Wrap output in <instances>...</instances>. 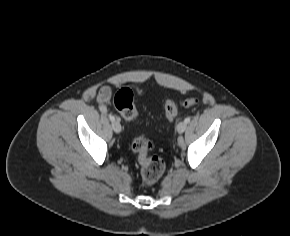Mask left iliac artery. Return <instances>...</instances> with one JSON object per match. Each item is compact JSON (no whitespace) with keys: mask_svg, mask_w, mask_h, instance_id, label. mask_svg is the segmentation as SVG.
Segmentation results:
<instances>
[{"mask_svg":"<svg viewBox=\"0 0 290 236\" xmlns=\"http://www.w3.org/2000/svg\"><path fill=\"white\" fill-rule=\"evenodd\" d=\"M185 122L189 123L190 122V117L185 118Z\"/></svg>","mask_w":290,"mask_h":236,"instance_id":"44dca946","label":"left iliac artery"}]
</instances>
